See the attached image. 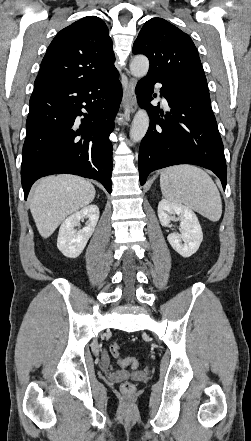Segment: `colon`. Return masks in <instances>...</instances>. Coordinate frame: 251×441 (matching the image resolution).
<instances>
[{
  "label": "colon",
  "mask_w": 251,
  "mask_h": 441,
  "mask_svg": "<svg viewBox=\"0 0 251 441\" xmlns=\"http://www.w3.org/2000/svg\"><path fill=\"white\" fill-rule=\"evenodd\" d=\"M109 351L110 353L114 356V357H118L119 356V351H120V346L117 343H112L109 346ZM120 364L122 366H126V367H132V368H136L139 365V362L136 358L134 357H126L124 359H122L120 361ZM121 389L124 393L130 394L132 392H134L135 387L132 383L130 382H125L121 385Z\"/></svg>",
  "instance_id": "obj_1"
}]
</instances>
